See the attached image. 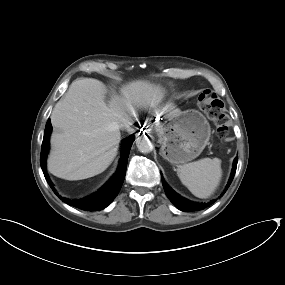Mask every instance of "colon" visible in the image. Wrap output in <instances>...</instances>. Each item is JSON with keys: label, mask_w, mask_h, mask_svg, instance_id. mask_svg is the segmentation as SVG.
Masks as SVG:
<instances>
[{"label": "colon", "mask_w": 285, "mask_h": 285, "mask_svg": "<svg viewBox=\"0 0 285 285\" xmlns=\"http://www.w3.org/2000/svg\"><path fill=\"white\" fill-rule=\"evenodd\" d=\"M200 104L206 115L214 122L218 133L224 129L225 115L223 113V102L214 98L209 90L204 91L199 97Z\"/></svg>", "instance_id": "1"}]
</instances>
